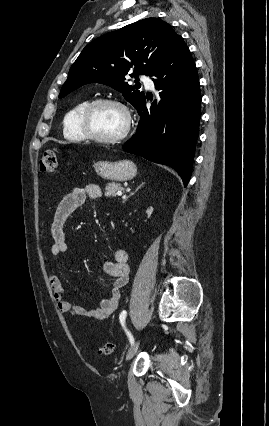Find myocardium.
<instances>
[{
    "instance_id": "obj_1",
    "label": "myocardium",
    "mask_w": 269,
    "mask_h": 426,
    "mask_svg": "<svg viewBox=\"0 0 269 426\" xmlns=\"http://www.w3.org/2000/svg\"><path fill=\"white\" fill-rule=\"evenodd\" d=\"M101 105H111V106H115L117 108H119L125 118V124L123 129L121 130L120 133H118L117 135L113 136V137H101L96 135L95 133H93V131L90 128L89 125V119L91 116V113L93 112V110ZM80 125L82 128V131L84 133V135L86 136L87 139L93 140L95 142L98 143H102V144H116L122 140H124L130 130H131V126H132V117H131V113L129 111V109L127 108V106L125 104H123L122 102L116 100V99H111V98H98V99H94L92 101H90L87 106L84 108L82 114H81V118H80Z\"/></svg>"
}]
</instances>
